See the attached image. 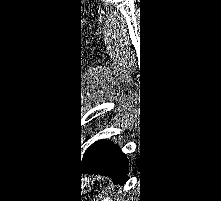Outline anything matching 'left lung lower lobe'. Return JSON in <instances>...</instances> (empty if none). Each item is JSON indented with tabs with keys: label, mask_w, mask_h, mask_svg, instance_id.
Masks as SVG:
<instances>
[{
	"label": "left lung lower lobe",
	"mask_w": 221,
	"mask_h": 201,
	"mask_svg": "<svg viewBox=\"0 0 221 201\" xmlns=\"http://www.w3.org/2000/svg\"><path fill=\"white\" fill-rule=\"evenodd\" d=\"M129 160L121 148L106 139H99L85 149L80 160L82 172L109 176L114 183L128 180Z\"/></svg>",
	"instance_id": "left-lung-lower-lobe-1"
}]
</instances>
